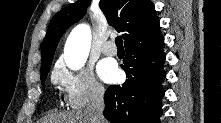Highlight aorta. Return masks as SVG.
Instances as JSON below:
<instances>
[{
    "mask_svg": "<svg viewBox=\"0 0 221 123\" xmlns=\"http://www.w3.org/2000/svg\"><path fill=\"white\" fill-rule=\"evenodd\" d=\"M91 39V29L87 24H79L71 31L64 48V60L70 69L79 70L84 66Z\"/></svg>",
    "mask_w": 221,
    "mask_h": 123,
    "instance_id": "aorta-1",
    "label": "aorta"
}]
</instances>
